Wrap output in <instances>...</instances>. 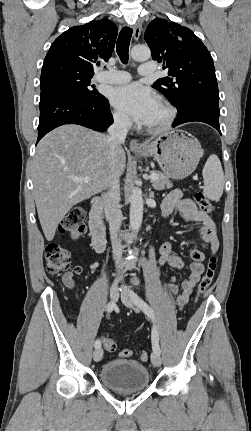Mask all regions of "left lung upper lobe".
<instances>
[{
	"instance_id": "left-lung-upper-lobe-1",
	"label": "left lung upper lobe",
	"mask_w": 251,
	"mask_h": 431,
	"mask_svg": "<svg viewBox=\"0 0 251 431\" xmlns=\"http://www.w3.org/2000/svg\"><path fill=\"white\" fill-rule=\"evenodd\" d=\"M145 40L152 58L166 65L168 77L153 83L178 112L200 99L219 100L215 68L210 52L188 28L156 18L147 27Z\"/></svg>"
}]
</instances>
